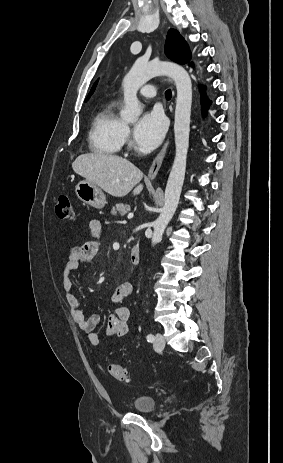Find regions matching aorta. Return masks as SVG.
Wrapping results in <instances>:
<instances>
[{"instance_id": "762f6f07", "label": "aorta", "mask_w": 283, "mask_h": 463, "mask_svg": "<svg viewBox=\"0 0 283 463\" xmlns=\"http://www.w3.org/2000/svg\"><path fill=\"white\" fill-rule=\"evenodd\" d=\"M161 75L171 77L177 89L174 122L176 152L165 189L164 206L153 223V246L162 240L165 228L177 209L184 183L192 106V82L189 74L175 63L137 60L122 82L124 109L120 113L124 121H136L142 113V106L137 98L138 89L151 78Z\"/></svg>"}]
</instances>
